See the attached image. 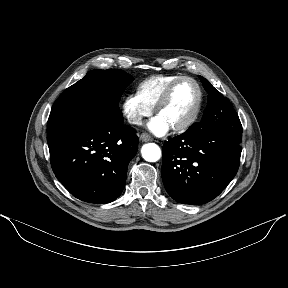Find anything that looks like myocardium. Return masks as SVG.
Segmentation results:
<instances>
[{
    "instance_id": "obj_1",
    "label": "myocardium",
    "mask_w": 288,
    "mask_h": 288,
    "mask_svg": "<svg viewBox=\"0 0 288 288\" xmlns=\"http://www.w3.org/2000/svg\"><path fill=\"white\" fill-rule=\"evenodd\" d=\"M184 80H188L191 81L196 89H197V102L195 105V108L193 110V112L191 113V115L182 123L171 126V129L175 132H181L184 131L188 128H190L198 119L199 114L201 112V108H202V103H203V91L202 88L200 86V84L198 83V81L196 79H194L193 77L187 76V75H182L177 77L176 79H174L167 87L166 89L163 91V93L161 94L160 98L158 99L156 105H155V113L158 115V113L160 112V110L168 103L173 90L175 89V87Z\"/></svg>"
}]
</instances>
